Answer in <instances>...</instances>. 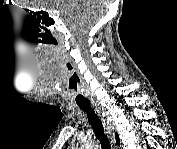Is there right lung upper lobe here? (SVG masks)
Instances as JSON below:
<instances>
[{"label": "right lung upper lobe", "instance_id": "obj_1", "mask_svg": "<svg viewBox=\"0 0 177 149\" xmlns=\"http://www.w3.org/2000/svg\"><path fill=\"white\" fill-rule=\"evenodd\" d=\"M115 138H116V144H118V145H119V144H120V140H119V136H118V134H117V133L115 134Z\"/></svg>", "mask_w": 177, "mask_h": 149}]
</instances>
